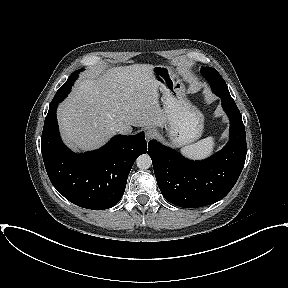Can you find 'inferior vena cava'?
<instances>
[{
    "mask_svg": "<svg viewBox=\"0 0 288 288\" xmlns=\"http://www.w3.org/2000/svg\"><path fill=\"white\" fill-rule=\"evenodd\" d=\"M116 132L120 134H127L126 130L123 127L116 128Z\"/></svg>",
    "mask_w": 288,
    "mask_h": 288,
    "instance_id": "inferior-vena-cava-1",
    "label": "inferior vena cava"
}]
</instances>
